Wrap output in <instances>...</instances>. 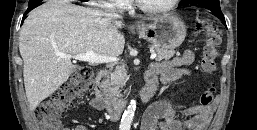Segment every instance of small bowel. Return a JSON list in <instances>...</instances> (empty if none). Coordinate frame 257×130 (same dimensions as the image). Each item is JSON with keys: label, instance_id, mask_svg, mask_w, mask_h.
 I'll list each match as a JSON object with an SVG mask.
<instances>
[{"label": "small bowel", "instance_id": "c3829d8e", "mask_svg": "<svg viewBox=\"0 0 257 130\" xmlns=\"http://www.w3.org/2000/svg\"><path fill=\"white\" fill-rule=\"evenodd\" d=\"M193 61L192 52H186L182 57L156 65L148 74V81L156 82V75L164 84H170L183 75L189 73V66ZM88 106L100 109L97 100H92ZM215 107L194 106L185 112H179L174 105L167 100H162L151 105L145 112L141 130H205L211 121ZM75 130H87L84 125H78Z\"/></svg>", "mask_w": 257, "mask_h": 130}]
</instances>
